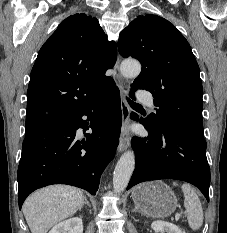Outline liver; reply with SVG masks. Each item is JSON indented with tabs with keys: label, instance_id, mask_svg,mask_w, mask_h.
<instances>
[{
	"label": "liver",
	"instance_id": "obj_1",
	"mask_svg": "<svg viewBox=\"0 0 227 233\" xmlns=\"http://www.w3.org/2000/svg\"><path fill=\"white\" fill-rule=\"evenodd\" d=\"M84 202L85 196L79 189L53 185L31 194L23 204V213L31 233H47L81 210Z\"/></svg>",
	"mask_w": 227,
	"mask_h": 233
}]
</instances>
